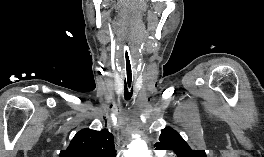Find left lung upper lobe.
I'll list each match as a JSON object with an SVG mask.
<instances>
[{"mask_svg":"<svg viewBox=\"0 0 264 157\" xmlns=\"http://www.w3.org/2000/svg\"><path fill=\"white\" fill-rule=\"evenodd\" d=\"M158 150H172L177 157H207L204 150H192L183 138L172 128L161 130L159 142L155 144Z\"/></svg>","mask_w":264,"mask_h":157,"instance_id":"1","label":"left lung upper lobe"}]
</instances>
